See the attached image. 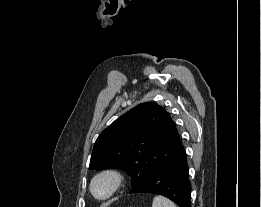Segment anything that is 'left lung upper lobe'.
Returning <instances> with one entry per match:
<instances>
[{"label": "left lung upper lobe", "instance_id": "obj_1", "mask_svg": "<svg viewBox=\"0 0 261 207\" xmlns=\"http://www.w3.org/2000/svg\"><path fill=\"white\" fill-rule=\"evenodd\" d=\"M182 149L170 114L157 103L146 102L123 114L99 135L89 168L122 169L134 187Z\"/></svg>", "mask_w": 261, "mask_h": 207}]
</instances>
